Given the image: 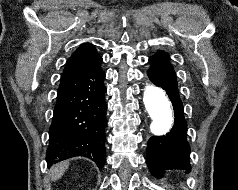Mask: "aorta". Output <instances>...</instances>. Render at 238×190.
Returning <instances> with one entry per match:
<instances>
[{
	"instance_id": "762f6f07",
	"label": "aorta",
	"mask_w": 238,
	"mask_h": 190,
	"mask_svg": "<svg viewBox=\"0 0 238 190\" xmlns=\"http://www.w3.org/2000/svg\"><path fill=\"white\" fill-rule=\"evenodd\" d=\"M143 102L152 119L150 125L152 133L154 135L167 133L173 123V112L164 90L147 84L144 89Z\"/></svg>"
}]
</instances>
